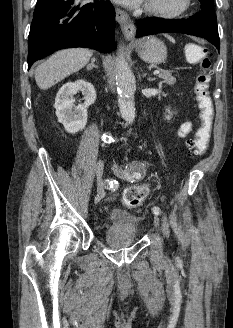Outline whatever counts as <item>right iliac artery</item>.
I'll return each mask as SVG.
<instances>
[{"label":"right iliac artery","mask_w":233,"mask_h":328,"mask_svg":"<svg viewBox=\"0 0 233 328\" xmlns=\"http://www.w3.org/2000/svg\"><path fill=\"white\" fill-rule=\"evenodd\" d=\"M109 184H110V189H112V191L117 190V188H118V182L111 181Z\"/></svg>","instance_id":"obj_1"}]
</instances>
